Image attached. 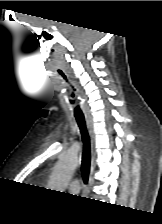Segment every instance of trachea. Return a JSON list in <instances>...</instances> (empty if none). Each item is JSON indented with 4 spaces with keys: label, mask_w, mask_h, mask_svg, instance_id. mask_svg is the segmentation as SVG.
<instances>
[{
    "label": "trachea",
    "mask_w": 162,
    "mask_h": 224,
    "mask_svg": "<svg viewBox=\"0 0 162 224\" xmlns=\"http://www.w3.org/2000/svg\"><path fill=\"white\" fill-rule=\"evenodd\" d=\"M75 118L82 135L83 155H82L81 172H82L83 181L86 184L89 178L90 163H91L90 138L87 132L84 117L76 116Z\"/></svg>",
    "instance_id": "3493384b"
}]
</instances>
